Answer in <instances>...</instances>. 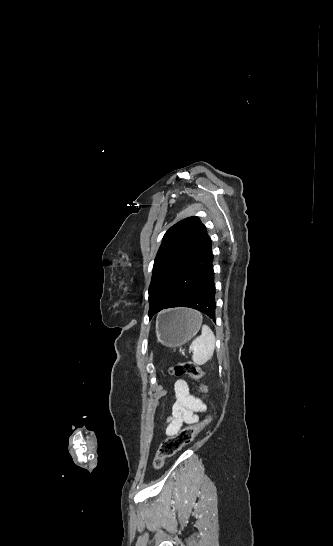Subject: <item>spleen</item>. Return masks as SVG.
<instances>
[{
	"label": "spleen",
	"mask_w": 333,
	"mask_h": 546,
	"mask_svg": "<svg viewBox=\"0 0 333 546\" xmlns=\"http://www.w3.org/2000/svg\"><path fill=\"white\" fill-rule=\"evenodd\" d=\"M199 315L202 317L200 313ZM190 350L193 351L192 360L195 365H203L212 358L215 350V335L210 327L207 325L202 327L201 335L193 340Z\"/></svg>",
	"instance_id": "obj_1"
}]
</instances>
